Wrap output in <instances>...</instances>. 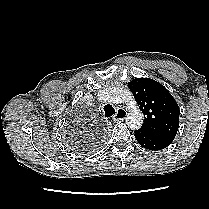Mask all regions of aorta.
I'll return each mask as SVG.
<instances>
[{"label": "aorta", "instance_id": "aorta-1", "mask_svg": "<svg viewBox=\"0 0 209 209\" xmlns=\"http://www.w3.org/2000/svg\"><path fill=\"white\" fill-rule=\"evenodd\" d=\"M102 99L109 103H129L130 111L126 117V124L132 130H138L143 124V113L138 107L133 94L125 88H107L102 92Z\"/></svg>", "mask_w": 209, "mask_h": 209}]
</instances>
